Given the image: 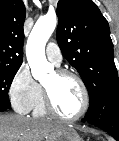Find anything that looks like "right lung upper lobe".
Listing matches in <instances>:
<instances>
[{
  "label": "right lung upper lobe",
  "instance_id": "1",
  "mask_svg": "<svg viewBox=\"0 0 119 141\" xmlns=\"http://www.w3.org/2000/svg\"><path fill=\"white\" fill-rule=\"evenodd\" d=\"M25 16L22 0H0V66H21Z\"/></svg>",
  "mask_w": 119,
  "mask_h": 141
}]
</instances>
